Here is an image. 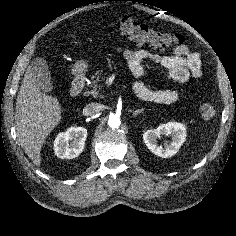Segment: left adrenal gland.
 Listing matches in <instances>:
<instances>
[{
	"label": "left adrenal gland",
	"instance_id": "obj_1",
	"mask_svg": "<svg viewBox=\"0 0 236 236\" xmlns=\"http://www.w3.org/2000/svg\"><path fill=\"white\" fill-rule=\"evenodd\" d=\"M143 111H144V109L136 110V111L132 112L133 113L132 115L135 117L138 114L142 113Z\"/></svg>",
	"mask_w": 236,
	"mask_h": 236
}]
</instances>
